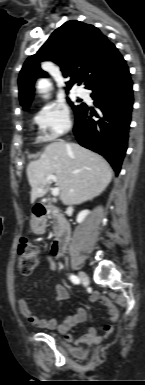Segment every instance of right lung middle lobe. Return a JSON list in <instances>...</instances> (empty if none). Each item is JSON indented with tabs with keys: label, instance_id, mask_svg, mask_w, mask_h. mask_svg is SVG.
Returning <instances> with one entry per match:
<instances>
[{
	"label": "right lung middle lobe",
	"instance_id": "dd1d6c3e",
	"mask_svg": "<svg viewBox=\"0 0 145 385\" xmlns=\"http://www.w3.org/2000/svg\"><path fill=\"white\" fill-rule=\"evenodd\" d=\"M78 101H79V100H78ZM69 103H70V105L72 106V108H73V110H74L75 113L77 112V110H78V109L81 107V105H82V104H81V105H78V106H74L72 102L69 101Z\"/></svg>",
	"mask_w": 145,
	"mask_h": 385
}]
</instances>
